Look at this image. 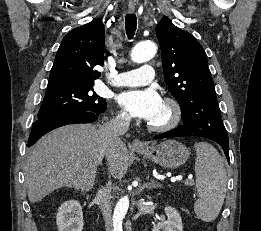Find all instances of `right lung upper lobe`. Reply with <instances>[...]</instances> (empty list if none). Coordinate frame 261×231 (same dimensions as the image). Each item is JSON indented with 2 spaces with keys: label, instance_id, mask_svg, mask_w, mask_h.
<instances>
[{
  "label": "right lung upper lobe",
  "instance_id": "cb5924a9",
  "mask_svg": "<svg viewBox=\"0 0 261 231\" xmlns=\"http://www.w3.org/2000/svg\"><path fill=\"white\" fill-rule=\"evenodd\" d=\"M105 29L99 18L77 27L63 38L51 69L48 88L94 85L103 66Z\"/></svg>",
  "mask_w": 261,
  "mask_h": 231
}]
</instances>
